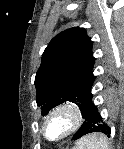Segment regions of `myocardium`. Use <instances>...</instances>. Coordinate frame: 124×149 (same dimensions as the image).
I'll return each mask as SVG.
<instances>
[{"mask_svg":"<svg viewBox=\"0 0 124 149\" xmlns=\"http://www.w3.org/2000/svg\"><path fill=\"white\" fill-rule=\"evenodd\" d=\"M65 117L68 121L67 128L65 132L58 138H51L48 135V124L51 120L55 118ZM84 122V113L82 109L74 102H63L52 110L45 116L42 124V134L44 138L52 143L62 142L72 135H74L82 126Z\"/></svg>","mask_w":124,"mask_h":149,"instance_id":"myocardium-1","label":"myocardium"}]
</instances>
